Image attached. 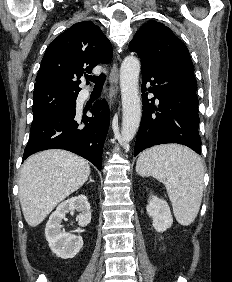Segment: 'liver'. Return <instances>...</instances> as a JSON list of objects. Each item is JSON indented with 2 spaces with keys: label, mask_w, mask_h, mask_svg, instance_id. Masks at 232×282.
<instances>
[{
  "label": "liver",
  "mask_w": 232,
  "mask_h": 282,
  "mask_svg": "<svg viewBox=\"0 0 232 282\" xmlns=\"http://www.w3.org/2000/svg\"><path fill=\"white\" fill-rule=\"evenodd\" d=\"M89 175V163L65 150H45L30 156L19 179V198L28 225H39Z\"/></svg>",
  "instance_id": "1"
}]
</instances>
